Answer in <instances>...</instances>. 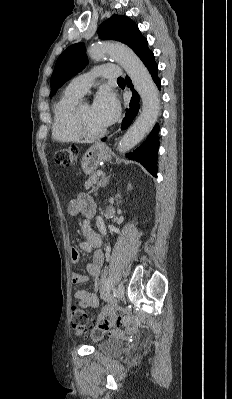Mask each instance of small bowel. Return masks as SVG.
I'll use <instances>...</instances> for the list:
<instances>
[{"label": "small bowel", "instance_id": "1", "mask_svg": "<svg viewBox=\"0 0 232 399\" xmlns=\"http://www.w3.org/2000/svg\"><path fill=\"white\" fill-rule=\"evenodd\" d=\"M73 213L83 212L86 215H91L96 210V204L88 193H80L75 199L71 201L70 205ZM80 231L85 235V240L79 243V247L82 250H91L96 248L103 243V238L99 236L88 222H82L80 224ZM69 261L77 263L80 261V253L78 250L72 248L69 250ZM103 263L102 254L99 251H95L92 255V259L89 262L87 269L89 274L97 278L101 273V267ZM86 280V277L80 273L75 272L71 276L72 284H82ZM94 289H98V285L94 283ZM73 297L78 301L79 305L84 308L96 309L99 305L98 299L94 293L88 292L83 288H76L73 290Z\"/></svg>", "mask_w": 232, "mask_h": 399}]
</instances>
